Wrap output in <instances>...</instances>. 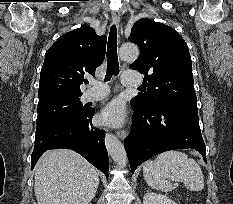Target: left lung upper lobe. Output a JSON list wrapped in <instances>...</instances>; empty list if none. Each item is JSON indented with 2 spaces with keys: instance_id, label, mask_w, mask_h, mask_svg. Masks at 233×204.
I'll list each match as a JSON object with an SVG mask.
<instances>
[{
  "instance_id": "1",
  "label": "left lung upper lobe",
  "mask_w": 233,
  "mask_h": 204,
  "mask_svg": "<svg viewBox=\"0 0 233 204\" xmlns=\"http://www.w3.org/2000/svg\"><path fill=\"white\" fill-rule=\"evenodd\" d=\"M128 39L141 49L130 68L145 75V93H140L131 103L138 107L159 101L196 104L190 53L177 31L142 18L134 24Z\"/></svg>"
}]
</instances>
